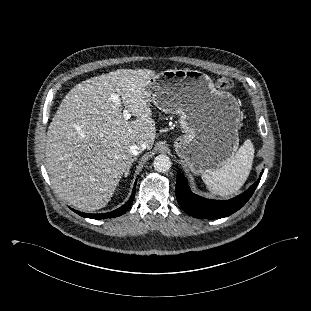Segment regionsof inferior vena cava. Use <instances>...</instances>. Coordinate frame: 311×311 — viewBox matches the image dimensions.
Listing matches in <instances>:
<instances>
[{
	"instance_id": "1",
	"label": "inferior vena cava",
	"mask_w": 311,
	"mask_h": 311,
	"mask_svg": "<svg viewBox=\"0 0 311 311\" xmlns=\"http://www.w3.org/2000/svg\"><path fill=\"white\" fill-rule=\"evenodd\" d=\"M146 149V145L143 143V144H140V145H132L131 147H130V152H131V154L132 155H138V154H140V153H142V151L143 150H145Z\"/></svg>"
}]
</instances>
